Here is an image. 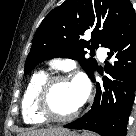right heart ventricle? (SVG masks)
<instances>
[{
    "label": "right heart ventricle",
    "instance_id": "1",
    "mask_svg": "<svg viewBox=\"0 0 136 136\" xmlns=\"http://www.w3.org/2000/svg\"><path fill=\"white\" fill-rule=\"evenodd\" d=\"M48 74L45 71L34 73L26 87L21 100L22 115L27 124H42L46 120L39 115L35 107L37 92Z\"/></svg>",
    "mask_w": 136,
    "mask_h": 136
}]
</instances>
